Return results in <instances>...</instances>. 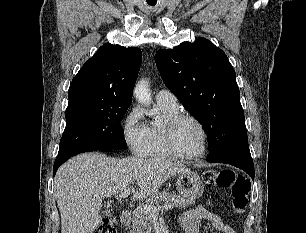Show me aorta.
Returning a JSON list of instances; mask_svg holds the SVG:
<instances>
[{"label":"aorta","mask_w":306,"mask_h":233,"mask_svg":"<svg viewBox=\"0 0 306 233\" xmlns=\"http://www.w3.org/2000/svg\"><path fill=\"white\" fill-rule=\"evenodd\" d=\"M133 93L140 103L145 105H149L151 103L150 90L148 88V82L146 80L139 81L135 85Z\"/></svg>","instance_id":"obj_1"}]
</instances>
